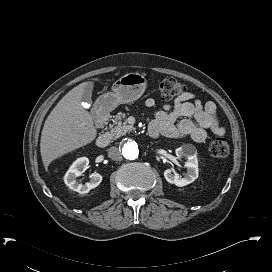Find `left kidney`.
I'll use <instances>...</instances> for the list:
<instances>
[{
    "label": "left kidney",
    "instance_id": "5707ae66",
    "mask_svg": "<svg viewBox=\"0 0 272 272\" xmlns=\"http://www.w3.org/2000/svg\"><path fill=\"white\" fill-rule=\"evenodd\" d=\"M177 158H186L185 167L187 173L184 177L179 176L174 173L171 169H166L164 171L165 179L178 187L186 186L194 182L198 178V160H197V150L192 144H186L179 147L175 151Z\"/></svg>",
    "mask_w": 272,
    "mask_h": 272
}]
</instances>
